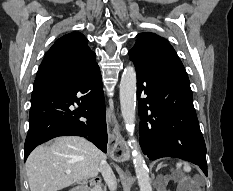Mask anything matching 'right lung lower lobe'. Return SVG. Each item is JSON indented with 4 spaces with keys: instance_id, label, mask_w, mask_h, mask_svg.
<instances>
[{
    "instance_id": "obj_1",
    "label": "right lung lower lobe",
    "mask_w": 233,
    "mask_h": 191,
    "mask_svg": "<svg viewBox=\"0 0 233 191\" xmlns=\"http://www.w3.org/2000/svg\"><path fill=\"white\" fill-rule=\"evenodd\" d=\"M31 103L24 161L39 144L64 135L85 137L106 153L105 102L98 64L75 77L35 79ZM75 104L79 108L71 111L69 106Z\"/></svg>"
}]
</instances>
